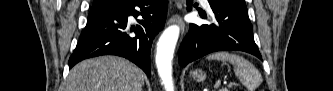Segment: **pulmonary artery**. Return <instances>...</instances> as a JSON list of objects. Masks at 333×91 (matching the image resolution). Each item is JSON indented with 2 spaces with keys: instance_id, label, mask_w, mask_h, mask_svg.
Segmentation results:
<instances>
[{
  "instance_id": "pulmonary-artery-1",
  "label": "pulmonary artery",
  "mask_w": 333,
  "mask_h": 91,
  "mask_svg": "<svg viewBox=\"0 0 333 91\" xmlns=\"http://www.w3.org/2000/svg\"><path fill=\"white\" fill-rule=\"evenodd\" d=\"M201 2L204 4V6L207 8L208 11H211V8H210L207 0H202Z\"/></svg>"
}]
</instances>
